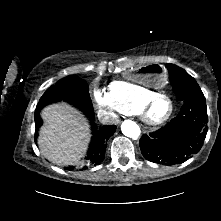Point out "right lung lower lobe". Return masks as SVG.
<instances>
[{
  "label": "right lung lower lobe",
  "mask_w": 221,
  "mask_h": 221,
  "mask_svg": "<svg viewBox=\"0 0 221 221\" xmlns=\"http://www.w3.org/2000/svg\"><path fill=\"white\" fill-rule=\"evenodd\" d=\"M83 111L91 120H93L94 113H93L92 103L87 107L86 110ZM41 123L42 122L39 116V112L35 111V124H36L35 138L38 135L37 130L40 127ZM92 128H93V137L90 143L89 152L87 154V157L85 158L86 165L83 167L82 170L87 169V166L90 165L94 166L98 165L104 160L107 141L116 131V127L110 125L103 126L100 130H96L95 124L92 123ZM67 169L73 170L74 166L68 167Z\"/></svg>",
  "instance_id": "1"
}]
</instances>
